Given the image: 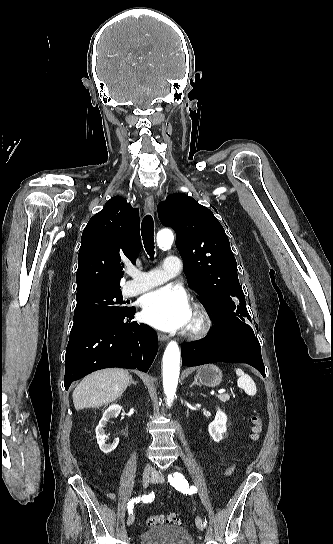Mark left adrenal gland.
Wrapping results in <instances>:
<instances>
[{"label": "left adrenal gland", "instance_id": "obj_1", "mask_svg": "<svg viewBox=\"0 0 333 544\" xmlns=\"http://www.w3.org/2000/svg\"><path fill=\"white\" fill-rule=\"evenodd\" d=\"M194 385L201 386L200 383H198L197 378L194 379V382L190 385V387H193Z\"/></svg>", "mask_w": 333, "mask_h": 544}]
</instances>
